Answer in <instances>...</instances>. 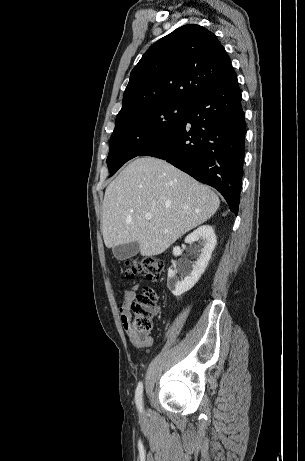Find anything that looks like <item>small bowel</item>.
I'll return each instance as SVG.
<instances>
[{
	"instance_id": "obj_1",
	"label": "small bowel",
	"mask_w": 305,
	"mask_h": 461,
	"mask_svg": "<svg viewBox=\"0 0 305 461\" xmlns=\"http://www.w3.org/2000/svg\"><path fill=\"white\" fill-rule=\"evenodd\" d=\"M138 288H139V284H135L131 288L126 289L123 292L122 302L119 308V312L121 316V321L130 339V342L137 348H147L152 345L153 338L145 334H138V333L133 332L129 324V308H130L131 302L136 297V291L138 290ZM156 311L158 312L159 308H157Z\"/></svg>"
}]
</instances>
